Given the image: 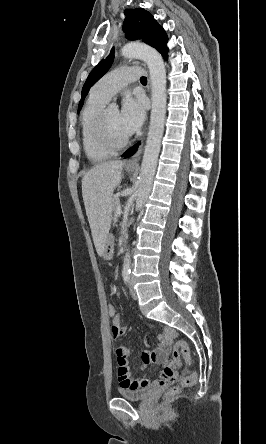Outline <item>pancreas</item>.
<instances>
[{
	"instance_id": "1",
	"label": "pancreas",
	"mask_w": 266,
	"mask_h": 444,
	"mask_svg": "<svg viewBox=\"0 0 266 444\" xmlns=\"http://www.w3.org/2000/svg\"><path fill=\"white\" fill-rule=\"evenodd\" d=\"M120 205V202H119V199H117V198H115V199H113V203H112V211H113V213H114V216H113V219L114 220H117V217H118V215H117V207Z\"/></svg>"
}]
</instances>
